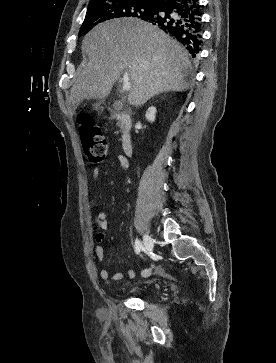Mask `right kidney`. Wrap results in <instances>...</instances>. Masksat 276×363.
I'll return each mask as SVG.
<instances>
[{
  "instance_id": "ca27d5eb",
  "label": "right kidney",
  "mask_w": 276,
  "mask_h": 363,
  "mask_svg": "<svg viewBox=\"0 0 276 363\" xmlns=\"http://www.w3.org/2000/svg\"><path fill=\"white\" fill-rule=\"evenodd\" d=\"M145 117L149 122L153 123L156 117V108L154 106L149 107L146 111Z\"/></svg>"
}]
</instances>
